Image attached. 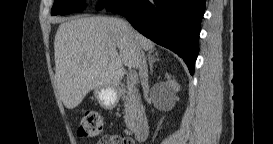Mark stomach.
Segmentation results:
<instances>
[{
	"instance_id": "0dacf381",
	"label": "stomach",
	"mask_w": 273,
	"mask_h": 144,
	"mask_svg": "<svg viewBox=\"0 0 273 144\" xmlns=\"http://www.w3.org/2000/svg\"><path fill=\"white\" fill-rule=\"evenodd\" d=\"M94 96L102 108L112 110L117 106L120 92L117 88L101 87L94 90Z\"/></svg>"
}]
</instances>
